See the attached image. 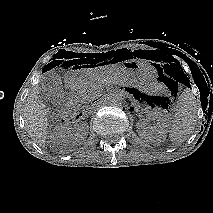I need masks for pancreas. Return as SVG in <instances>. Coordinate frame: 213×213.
<instances>
[{
  "label": "pancreas",
  "mask_w": 213,
  "mask_h": 213,
  "mask_svg": "<svg viewBox=\"0 0 213 213\" xmlns=\"http://www.w3.org/2000/svg\"><path fill=\"white\" fill-rule=\"evenodd\" d=\"M101 78V77H99ZM79 96L82 103H87L95 98L97 95V85L94 82L86 83L80 90Z\"/></svg>",
  "instance_id": "cf45deb5"
}]
</instances>
